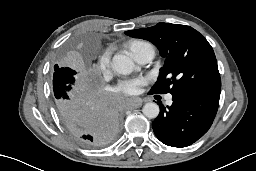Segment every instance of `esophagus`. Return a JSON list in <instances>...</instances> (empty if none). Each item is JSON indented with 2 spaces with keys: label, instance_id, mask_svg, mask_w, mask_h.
Masks as SVG:
<instances>
[{
  "label": "esophagus",
  "instance_id": "obj_1",
  "mask_svg": "<svg viewBox=\"0 0 256 171\" xmlns=\"http://www.w3.org/2000/svg\"><path fill=\"white\" fill-rule=\"evenodd\" d=\"M142 105V100L141 99H133L130 100L127 104L129 109H137Z\"/></svg>",
  "mask_w": 256,
  "mask_h": 171
}]
</instances>
